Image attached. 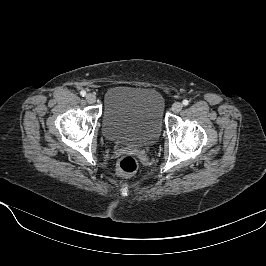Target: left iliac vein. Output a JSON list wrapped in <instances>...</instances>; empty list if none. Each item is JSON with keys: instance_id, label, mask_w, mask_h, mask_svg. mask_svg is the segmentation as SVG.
<instances>
[{"instance_id": "4c4485c4", "label": "left iliac vein", "mask_w": 266, "mask_h": 266, "mask_svg": "<svg viewBox=\"0 0 266 266\" xmlns=\"http://www.w3.org/2000/svg\"><path fill=\"white\" fill-rule=\"evenodd\" d=\"M183 108V104L181 102H175L173 105H172V111L174 113H178L182 110Z\"/></svg>"}]
</instances>
